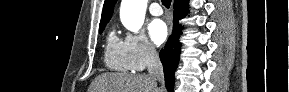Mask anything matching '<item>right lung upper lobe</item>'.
<instances>
[{
  "label": "right lung upper lobe",
  "instance_id": "right-lung-upper-lobe-1",
  "mask_svg": "<svg viewBox=\"0 0 289 92\" xmlns=\"http://www.w3.org/2000/svg\"><path fill=\"white\" fill-rule=\"evenodd\" d=\"M117 0H105L103 11H102V17L100 21V26L107 24L112 16L114 6Z\"/></svg>",
  "mask_w": 289,
  "mask_h": 92
}]
</instances>
